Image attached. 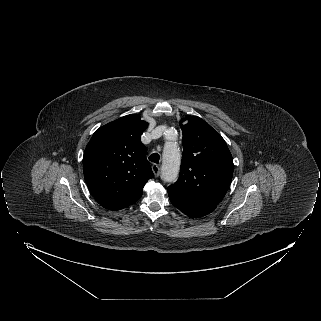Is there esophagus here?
Here are the masks:
<instances>
[{"label": "esophagus", "mask_w": 321, "mask_h": 321, "mask_svg": "<svg viewBox=\"0 0 321 321\" xmlns=\"http://www.w3.org/2000/svg\"><path fill=\"white\" fill-rule=\"evenodd\" d=\"M152 171H153L155 177H158L160 175V166L157 164H153Z\"/></svg>", "instance_id": "34e87169"}]
</instances>
